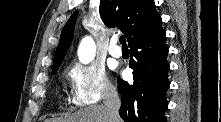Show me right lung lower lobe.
I'll list each match as a JSON object with an SVG mask.
<instances>
[{
	"label": "right lung lower lobe",
	"mask_w": 221,
	"mask_h": 122,
	"mask_svg": "<svg viewBox=\"0 0 221 122\" xmlns=\"http://www.w3.org/2000/svg\"><path fill=\"white\" fill-rule=\"evenodd\" d=\"M130 67L134 70L132 84L118 79L122 98L119 114L125 122H166L165 92L169 88L167 73L168 48L165 32L158 22L144 36L129 44Z\"/></svg>",
	"instance_id": "98d812e1"
}]
</instances>
